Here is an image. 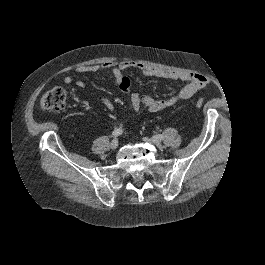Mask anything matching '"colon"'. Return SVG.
<instances>
[{"label":"colon","mask_w":265,"mask_h":265,"mask_svg":"<svg viewBox=\"0 0 265 265\" xmlns=\"http://www.w3.org/2000/svg\"><path fill=\"white\" fill-rule=\"evenodd\" d=\"M204 101L199 99L195 106L200 108L203 106ZM40 106L49 111H61L66 106V92L61 87H55L43 94L40 99Z\"/></svg>","instance_id":"5ec220e1"}]
</instances>
